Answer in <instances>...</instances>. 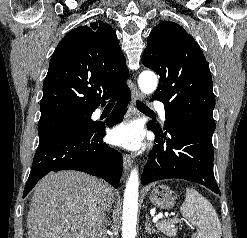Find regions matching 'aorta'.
<instances>
[{
  "label": "aorta",
  "instance_id": "1",
  "mask_svg": "<svg viewBox=\"0 0 247 238\" xmlns=\"http://www.w3.org/2000/svg\"><path fill=\"white\" fill-rule=\"evenodd\" d=\"M138 85L145 94L153 93L158 85L155 73L144 71L139 75ZM139 176L137 169L130 173L123 200L122 238H135L138 212Z\"/></svg>",
  "mask_w": 247,
  "mask_h": 238
}]
</instances>
